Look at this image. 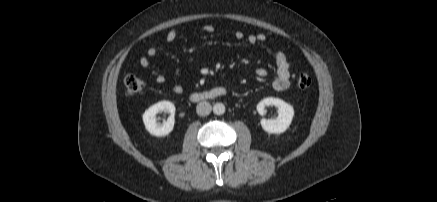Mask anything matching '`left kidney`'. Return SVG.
I'll return each instance as SVG.
<instances>
[{"label": "left kidney", "mask_w": 437, "mask_h": 202, "mask_svg": "<svg viewBox=\"0 0 437 202\" xmlns=\"http://www.w3.org/2000/svg\"><path fill=\"white\" fill-rule=\"evenodd\" d=\"M269 106H274L278 109V116L275 119L263 118L261 120V126L263 130L271 134H280L285 132L290 126L294 116L293 107L279 98L268 97L258 103V113L263 116L266 113L265 108Z\"/></svg>", "instance_id": "1"}]
</instances>
